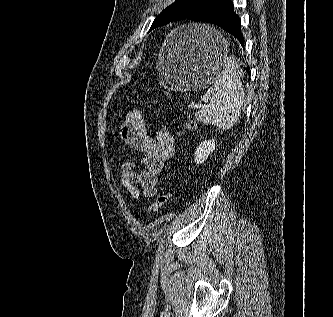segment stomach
I'll use <instances>...</instances> for the list:
<instances>
[{
  "instance_id": "1",
  "label": "stomach",
  "mask_w": 333,
  "mask_h": 317,
  "mask_svg": "<svg viewBox=\"0 0 333 317\" xmlns=\"http://www.w3.org/2000/svg\"><path fill=\"white\" fill-rule=\"evenodd\" d=\"M213 24H182L171 31L160 48L157 61L159 81L166 95H203L204 88L217 81V74H226L229 62L237 55H226L229 41Z\"/></svg>"
}]
</instances>
